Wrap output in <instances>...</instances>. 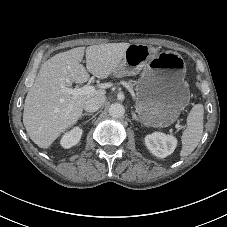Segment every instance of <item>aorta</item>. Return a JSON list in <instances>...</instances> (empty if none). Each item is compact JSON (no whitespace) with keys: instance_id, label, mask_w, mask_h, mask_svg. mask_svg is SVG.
Here are the masks:
<instances>
[{"instance_id":"762f6f07","label":"aorta","mask_w":227,"mask_h":227,"mask_svg":"<svg viewBox=\"0 0 227 227\" xmlns=\"http://www.w3.org/2000/svg\"><path fill=\"white\" fill-rule=\"evenodd\" d=\"M108 112L111 117L120 118L124 115L125 108L120 103H113L110 105Z\"/></svg>"}]
</instances>
